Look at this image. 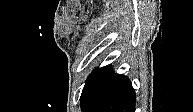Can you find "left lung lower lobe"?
Here are the masks:
<instances>
[{"mask_svg":"<svg viewBox=\"0 0 193 112\" xmlns=\"http://www.w3.org/2000/svg\"><path fill=\"white\" fill-rule=\"evenodd\" d=\"M135 101L130 80L111 65L92 72L80 97L83 112H135Z\"/></svg>","mask_w":193,"mask_h":112,"instance_id":"left-lung-lower-lobe-1","label":"left lung lower lobe"}]
</instances>
